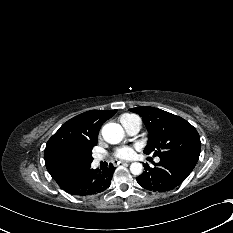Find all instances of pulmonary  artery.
<instances>
[{
  "label": "pulmonary artery",
  "instance_id": "1",
  "mask_svg": "<svg viewBox=\"0 0 233 233\" xmlns=\"http://www.w3.org/2000/svg\"><path fill=\"white\" fill-rule=\"evenodd\" d=\"M123 126L129 135H136L141 129V121L138 117L135 116L125 121ZM101 160L102 156L96 155L94 157V164L99 163ZM156 162H159V158H156Z\"/></svg>",
  "mask_w": 233,
  "mask_h": 233
}]
</instances>
